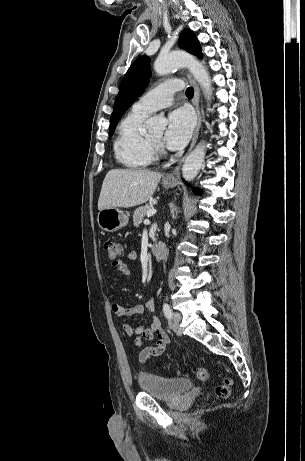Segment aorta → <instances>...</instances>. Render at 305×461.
Masks as SVG:
<instances>
[{
  "instance_id": "762f6f07",
  "label": "aorta",
  "mask_w": 305,
  "mask_h": 461,
  "mask_svg": "<svg viewBox=\"0 0 305 461\" xmlns=\"http://www.w3.org/2000/svg\"><path fill=\"white\" fill-rule=\"evenodd\" d=\"M187 67L195 80L203 89L205 97L209 100L212 94L211 80L206 68L193 56L180 51L160 55L155 63L154 70L158 75H166L174 69ZM149 132H162L167 125V120L161 116H153L146 121ZM204 143L198 144L187 156L182 166V176L186 181L193 180L199 173L205 158Z\"/></svg>"
}]
</instances>
